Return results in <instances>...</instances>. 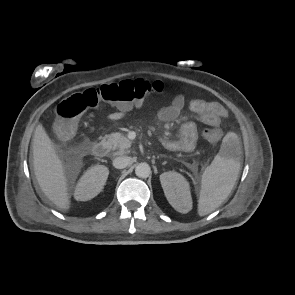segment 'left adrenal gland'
Here are the masks:
<instances>
[{"instance_id": "a2214340", "label": "left adrenal gland", "mask_w": 295, "mask_h": 295, "mask_svg": "<svg viewBox=\"0 0 295 295\" xmlns=\"http://www.w3.org/2000/svg\"><path fill=\"white\" fill-rule=\"evenodd\" d=\"M164 157H167L166 155H163ZM166 162H164V164H165Z\"/></svg>"}]
</instances>
